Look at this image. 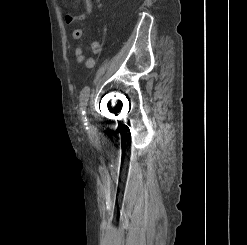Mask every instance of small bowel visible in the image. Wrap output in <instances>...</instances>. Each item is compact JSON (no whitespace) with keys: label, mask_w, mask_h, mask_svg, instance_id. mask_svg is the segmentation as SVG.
Segmentation results:
<instances>
[{"label":"small bowel","mask_w":247,"mask_h":245,"mask_svg":"<svg viewBox=\"0 0 247 245\" xmlns=\"http://www.w3.org/2000/svg\"><path fill=\"white\" fill-rule=\"evenodd\" d=\"M60 2L62 4L65 3V0H60ZM92 12V3L91 0H85V11L84 13L80 14V15H72L70 13H66L65 14V21L68 24H71L73 22L76 21H81L84 20L86 18H88L91 15ZM83 36V32L80 28H73L72 30V37L75 40H79L81 39ZM92 51L94 53H99L101 50V43L99 41H94L91 45ZM75 56H76V60L79 63H83L85 65V67L87 68H93L95 66V60L91 57H85L83 54V48L82 45H79L76 49H75Z\"/></svg>","instance_id":"c3829d8e"}]
</instances>
